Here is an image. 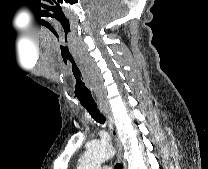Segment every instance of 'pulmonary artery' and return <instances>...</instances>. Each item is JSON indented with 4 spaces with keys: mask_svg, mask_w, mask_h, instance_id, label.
Here are the masks:
<instances>
[{
    "mask_svg": "<svg viewBox=\"0 0 208 169\" xmlns=\"http://www.w3.org/2000/svg\"><path fill=\"white\" fill-rule=\"evenodd\" d=\"M100 169H112V167L108 166V165H102L100 167Z\"/></svg>",
    "mask_w": 208,
    "mask_h": 169,
    "instance_id": "e3ab8cb5",
    "label": "pulmonary artery"
}]
</instances>
